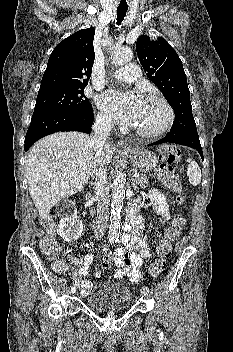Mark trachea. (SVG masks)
Listing matches in <instances>:
<instances>
[{"mask_svg":"<svg viewBox=\"0 0 233 352\" xmlns=\"http://www.w3.org/2000/svg\"><path fill=\"white\" fill-rule=\"evenodd\" d=\"M127 10L128 8H121V7L117 8V25L121 24V22L123 21L126 15Z\"/></svg>","mask_w":233,"mask_h":352,"instance_id":"3493384b","label":"trachea"}]
</instances>
